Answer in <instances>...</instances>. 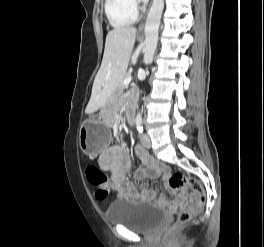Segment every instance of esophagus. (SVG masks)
Instances as JSON below:
<instances>
[{
  "instance_id": "obj_1",
  "label": "esophagus",
  "mask_w": 264,
  "mask_h": 247,
  "mask_svg": "<svg viewBox=\"0 0 264 247\" xmlns=\"http://www.w3.org/2000/svg\"><path fill=\"white\" fill-rule=\"evenodd\" d=\"M144 25H145V22L143 21V22L140 24L139 28H138V31H139V32H142V30H143V28H144Z\"/></svg>"
}]
</instances>
